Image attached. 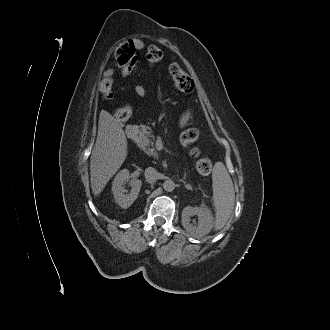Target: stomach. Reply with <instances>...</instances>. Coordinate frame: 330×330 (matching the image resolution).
Here are the masks:
<instances>
[{
    "mask_svg": "<svg viewBox=\"0 0 330 330\" xmlns=\"http://www.w3.org/2000/svg\"><path fill=\"white\" fill-rule=\"evenodd\" d=\"M190 119V114L188 112L184 113L180 118V126L185 127Z\"/></svg>",
    "mask_w": 330,
    "mask_h": 330,
    "instance_id": "0dacf381",
    "label": "stomach"
}]
</instances>
